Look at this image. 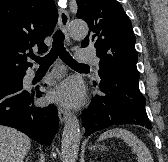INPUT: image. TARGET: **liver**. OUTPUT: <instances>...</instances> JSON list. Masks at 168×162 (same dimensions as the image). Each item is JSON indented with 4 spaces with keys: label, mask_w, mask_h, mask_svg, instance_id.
Returning a JSON list of instances; mask_svg holds the SVG:
<instances>
[{
    "label": "liver",
    "mask_w": 168,
    "mask_h": 162,
    "mask_svg": "<svg viewBox=\"0 0 168 162\" xmlns=\"http://www.w3.org/2000/svg\"><path fill=\"white\" fill-rule=\"evenodd\" d=\"M30 147V138L25 134L0 125V162H23Z\"/></svg>",
    "instance_id": "1"
}]
</instances>
